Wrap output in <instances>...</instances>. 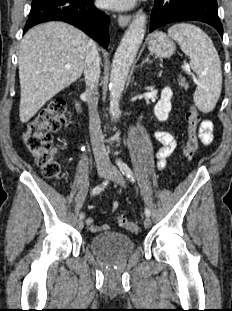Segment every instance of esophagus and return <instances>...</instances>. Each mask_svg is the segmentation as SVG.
<instances>
[{
    "mask_svg": "<svg viewBox=\"0 0 232 311\" xmlns=\"http://www.w3.org/2000/svg\"><path fill=\"white\" fill-rule=\"evenodd\" d=\"M130 20H131V15H122V14H120L119 16H118V23H119V25L121 26V27H125V26H127L128 25V23L130 22Z\"/></svg>",
    "mask_w": 232,
    "mask_h": 311,
    "instance_id": "1",
    "label": "esophagus"
}]
</instances>
